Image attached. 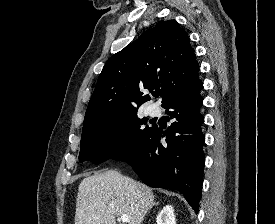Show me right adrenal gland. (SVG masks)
<instances>
[{
  "label": "right adrenal gland",
  "mask_w": 275,
  "mask_h": 224,
  "mask_svg": "<svg viewBox=\"0 0 275 224\" xmlns=\"http://www.w3.org/2000/svg\"><path fill=\"white\" fill-rule=\"evenodd\" d=\"M157 205H159V202L153 203V205L149 209H151L153 206H157Z\"/></svg>",
  "instance_id": "2a0ac1e0"
}]
</instances>
